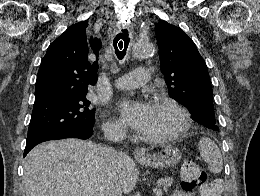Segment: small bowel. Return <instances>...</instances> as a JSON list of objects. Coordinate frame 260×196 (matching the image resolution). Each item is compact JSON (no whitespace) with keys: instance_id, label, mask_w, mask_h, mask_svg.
I'll list each match as a JSON object with an SVG mask.
<instances>
[{"instance_id":"obj_1","label":"small bowel","mask_w":260,"mask_h":196,"mask_svg":"<svg viewBox=\"0 0 260 196\" xmlns=\"http://www.w3.org/2000/svg\"><path fill=\"white\" fill-rule=\"evenodd\" d=\"M173 196H192L190 192L176 191Z\"/></svg>"}]
</instances>
